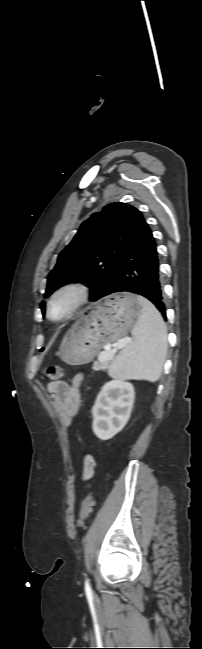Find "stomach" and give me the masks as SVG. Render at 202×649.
<instances>
[{
  "instance_id": "obj_1",
  "label": "stomach",
  "mask_w": 202,
  "mask_h": 649,
  "mask_svg": "<svg viewBox=\"0 0 202 649\" xmlns=\"http://www.w3.org/2000/svg\"><path fill=\"white\" fill-rule=\"evenodd\" d=\"M142 311L137 296L114 294L95 304L93 311L74 323L64 336L58 356L70 365L93 360L106 344L124 337Z\"/></svg>"
}]
</instances>
